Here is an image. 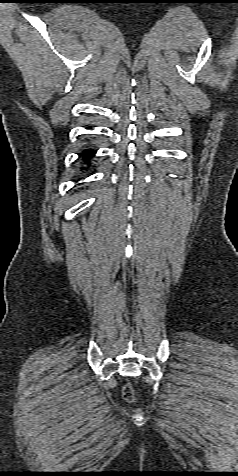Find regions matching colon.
Returning <instances> with one entry per match:
<instances>
[{
  "label": "colon",
  "mask_w": 238,
  "mask_h": 476,
  "mask_svg": "<svg viewBox=\"0 0 238 476\" xmlns=\"http://www.w3.org/2000/svg\"><path fill=\"white\" fill-rule=\"evenodd\" d=\"M123 395L127 400L133 399V390L130 385H126L123 389Z\"/></svg>",
  "instance_id": "colon-1"
}]
</instances>
